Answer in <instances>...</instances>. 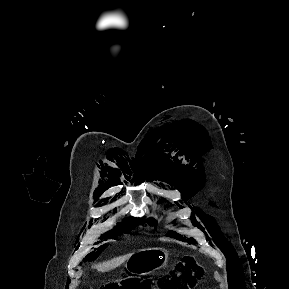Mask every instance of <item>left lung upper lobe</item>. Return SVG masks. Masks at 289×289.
<instances>
[{
  "label": "left lung upper lobe",
  "mask_w": 289,
  "mask_h": 289,
  "mask_svg": "<svg viewBox=\"0 0 289 289\" xmlns=\"http://www.w3.org/2000/svg\"><path fill=\"white\" fill-rule=\"evenodd\" d=\"M146 223H148L151 226H154L155 228L157 226V222L152 218L147 219ZM166 236L176 238V239L184 241V242L192 241V240H188V239L183 238L180 234L173 232V231L168 232V234Z\"/></svg>",
  "instance_id": "5c2ea615"
}]
</instances>
